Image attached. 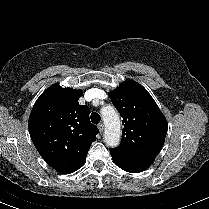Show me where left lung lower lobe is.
I'll return each mask as SVG.
<instances>
[{"mask_svg":"<svg viewBox=\"0 0 209 209\" xmlns=\"http://www.w3.org/2000/svg\"><path fill=\"white\" fill-rule=\"evenodd\" d=\"M112 159L114 163L120 167L121 169L131 172V173H138L146 170L151 164L141 162V161H135V160H129L125 158H121L115 155H112Z\"/></svg>","mask_w":209,"mask_h":209,"instance_id":"obj_1","label":"left lung lower lobe"}]
</instances>
